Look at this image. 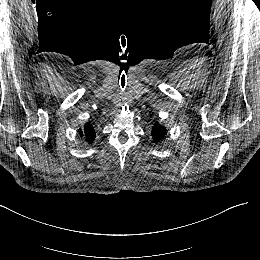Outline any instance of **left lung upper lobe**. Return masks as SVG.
<instances>
[{
	"mask_svg": "<svg viewBox=\"0 0 260 260\" xmlns=\"http://www.w3.org/2000/svg\"><path fill=\"white\" fill-rule=\"evenodd\" d=\"M152 138L155 142H160L167 134V130L159 123L154 124L152 128Z\"/></svg>",
	"mask_w": 260,
	"mask_h": 260,
	"instance_id": "1",
	"label": "left lung upper lobe"
}]
</instances>
